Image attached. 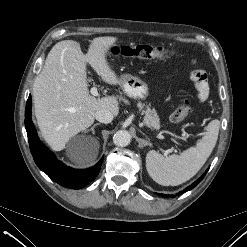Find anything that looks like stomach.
Masks as SVG:
<instances>
[{"mask_svg":"<svg viewBox=\"0 0 247 247\" xmlns=\"http://www.w3.org/2000/svg\"><path fill=\"white\" fill-rule=\"evenodd\" d=\"M119 81L120 86L128 97L139 100H144L148 97L149 87L143 80L130 74H124L119 77Z\"/></svg>","mask_w":247,"mask_h":247,"instance_id":"stomach-1","label":"stomach"}]
</instances>
